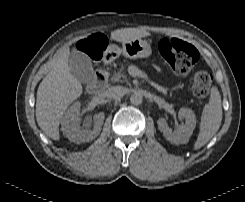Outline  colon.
Returning a JSON list of instances; mask_svg holds the SVG:
<instances>
[{
  "label": "colon",
  "mask_w": 245,
  "mask_h": 202,
  "mask_svg": "<svg viewBox=\"0 0 245 202\" xmlns=\"http://www.w3.org/2000/svg\"><path fill=\"white\" fill-rule=\"evenodd\" d=\"M106 48V39L101 33L80 40L75 44L79 56L98 59ZM160 57L171 69L180 75L187 74L198 62V50L179 39L162 38L158 44ZM212 84L208 71H198L193 76V92L197 98H205Z\"/></svg>",
  "instance_id": "obj_1"
}]
</instances>
